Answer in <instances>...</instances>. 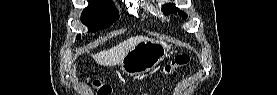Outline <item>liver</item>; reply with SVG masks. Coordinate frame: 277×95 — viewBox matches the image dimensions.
Returning <instances> with one entry per match:
<instances>
[{
  "mask_svg": "<svg viewBox=\"0 0 277 95\" xmlns=\"http://www.w3.org/2000/svg\"><path fill=\"white\" fill-rule=\"evenodd\" d=\"M146 39L144 36L131 37L109 50H103L93 55V59L103 66H114L120 64L124 56L139 42Z\"/></svg>",
  "mask_w": 277,
  "mask_h": 95,
  "instance_id": "obj_1",
  "label": "liver"
}]
</instances>
